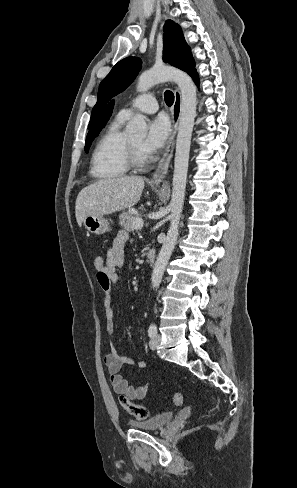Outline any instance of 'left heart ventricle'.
I'll list each match as a JSON object with an SVG mask.
<instances>
[{"label":"left heart ventricle","mask_w":297,"mask_h":488,"mask_svg":"<svg viewBox=\"0 0 297 488\" xmlns=\"http://www.w3.org/2000/svg\"><path fill=\"white\" fill-rule=\"evenodd\" d=\"M131 141L133 142V144H134L135 146H137V147H138V149L140 150L141 154H142L143 156H145V155H144V153L142 152V149H141V145H142V143H143V137H137V138L132 139Z\"/></svg>","instance_id":"left-heart-ventricle-1"}]
</instances>
